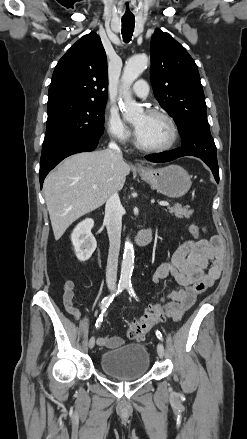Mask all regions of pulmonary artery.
I'll return each instance as SVG.
<instances>
[{
  "instance_id": "e3ab8cb5",
  "label": "pulmonary artery",
  "mask_w": 247,
  "mask_h": 439,
  "mask_svg": "<svg viewBox=\"0 0 247 439\" xmlns=\"http://www.w3.org/2000/svg\"><path fill=\"white\" fill-rule=\"evenodd\" d=\"M132 92L139 98H146L149 92L147 82L144 80L137 81L132 87Z\"/></svg>"
}]
</instances>
